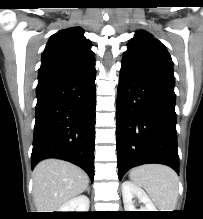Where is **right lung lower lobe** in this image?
I'll return each instance as SVG.
<instances>
[{"label":"right lung lower lobe","instance_id":"98d812e1","mask_svg":"<svg viewBox=\"0 0 203 219\" xmlns=\"http://www.w3.org/2000/svg\"><path fill=\"white\" fill-rule=\"evenodd\" d=\"M95 61L39 71L32 168L46 158L70 161L94 179Z\"/></svg>","mask_w":203,"mask_h":219}]
</instances>
